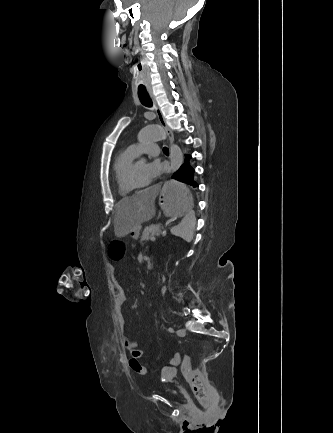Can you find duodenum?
I'll list each match as a JSON object with an SVG mask.
<instances>
[{
  "instance_id": "duodenum-1",
  "label": "duodenum",
  "mask_w": 333,
  "mask_h": 433,
  "mask_svg": "<svg viewBox=\"0 0 333 433\" xmlns=\"http://www.w3.org/2000/svg\"><path fill=\"white\" fill-rule=\"evenodd\" d=\"M151 266H152V262H151V259L148 257V258H146V267H147L148 269H150Z\"/></svg>"
}]
</instances>
